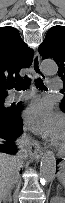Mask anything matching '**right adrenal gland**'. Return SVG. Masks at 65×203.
Returning <instances> with one entry per match:
<instances>
[{
    "instance_id": "obj_1",
    "label": "right adrenal gland",
    "mask_w": 65,
    "mask_h": 203,
    "mask_svg": "<svg viewBox=\"0 0 65 203\" xmlns=\"http://www.w3.org/2000/svg\"><path fill=\"white\" fill-rule=\"evenodd\" d=\"M7 202L12 203L11 191L8 193L7 198L3 200V203Z\"/></svg>"
}]
</instances>
